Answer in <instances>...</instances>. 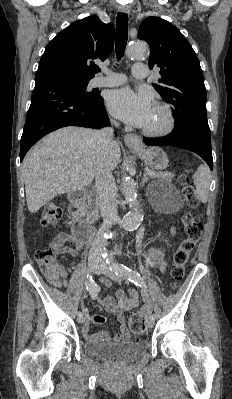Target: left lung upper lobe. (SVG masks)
<instances>
[{"instance_id":"1","label":"left lung upper lobe","mask_w":232,"mask_h":399,"mask_svg":"<svg viewBox=\"0 0 232 399\" xmlns=\"http://www.w3.org/2000/svg\"><path fill=\"white\" fill-rule=\"evenodd\" d=\"M138 38L150 46L149 68L160 69V84L153 86L172 105V132L211 143L203 73L190 43L173 24L153 16L142 22Z\"/></svg>"}]
</instances>
